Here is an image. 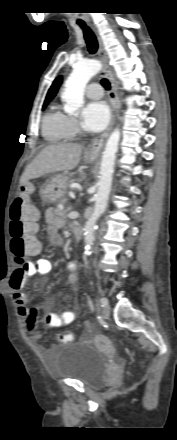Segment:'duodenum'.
Here are the masks:
<instances>
[{"mask_svg": "<svg viewBox=\"0 0 177 440\" xmlns=\"http://www.w3.org/2000/svg\"><path fill=\"white\" fill-rule=\"evenodd\" d=\"M72 233H73L75 241L77 243H79L82 240V238H83V228H82V226H80V225L73 226Z\"/></svg>", "mask_w": 177, "mask_h": 440, "instance_id": "1", "label": "duodenum"}]
</instances>
